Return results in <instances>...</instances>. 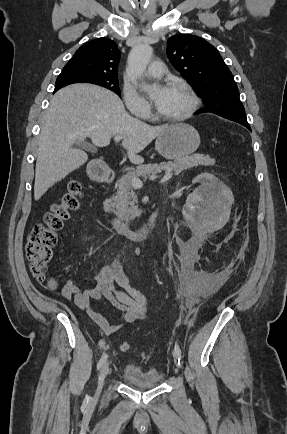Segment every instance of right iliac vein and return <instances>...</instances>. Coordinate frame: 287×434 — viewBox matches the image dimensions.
<instances>
[{
  "mask_svg": "<svg viewBox=\"0 0 287 434\" xmlns=\"http://www.w3.org/2000/svg\"><path fill=\"white\" fill-rule=\"evenodd\" d=\"M108 373H109V363L106 362L102 366V368L99 372V375H98V383H97V389L95 392V397L99 396V394L102 390L103 384H104V380H105L106 376L108 375Z\"/></svg>",
  "mask_w": 287,
  "mask_h": 434,
  "instance_id": "1",
  "label": "right iliac vein"
}]
</instances>
